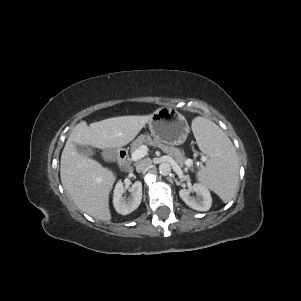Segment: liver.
I'll return each instance as SVG.
<instances>
[{
    "label": "liver",
    "instance_id": "liver-1",
    "mask_svg": "<svg viewBox=\"0 0 301 301\" xmlns=\"http://www.w3.org/2000/svg\"><path fill=\"white\" fill-rule=\"evenodd\" d=\"M151 115L108 118L87 125L77 124L61 155L60 177L77 207L101 221H109V194L116 180L112 171L80 155L76 144L99 149L120 148L130 143L149 122Z\"/></svg>",
    "mask_w": 301,
    "mask_h": 301
}]
</instances>
